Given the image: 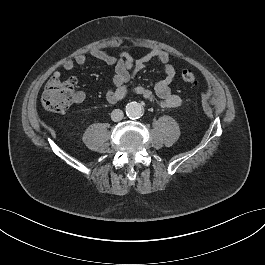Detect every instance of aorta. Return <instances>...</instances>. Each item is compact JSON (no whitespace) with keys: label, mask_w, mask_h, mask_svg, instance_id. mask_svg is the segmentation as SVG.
I'll return each mask as SVG.
<instances>
[{"label":"aorta","mask_w":265,"mask_h":265,"mask_svg":"<svg viewBox=\"0 0 265 265\" xmlns=\"http://www.w3.org/2000/svg\"><path fill=\"white\" fill-rule=\"evenodd\" d=\"M126 114L129 118H139L142 116L143 108L137 102H130L125 107Z\"/></svg>","instance_id":"1"}]
</instances>
